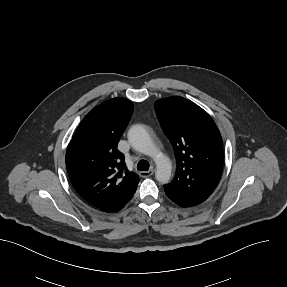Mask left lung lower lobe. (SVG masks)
Masks as SVG:
<instances>
[{
	"mask_svg": "<svg viewBox=\"0 0 287 287\" xmlns=\"http://www.w3.org/2000/svg\"><path fill=\"white\" fill-rule=\"evenodd\" d=\"M165 193L166 195L173 201L175 202L176 204H178L179 206H182V207H190V206H195V205H198L202 202L200 201H196V200H192V199H188V198H185V197H182V196H178L177 194H175L174 192L172 191H169L167 189H165Z\"/></svg>",
	"mask_w": 287,
	"mask_h": 287,
	"instance_id": "0a47b994",
	"label": "left lung lower lobe"
}]
</instances>
